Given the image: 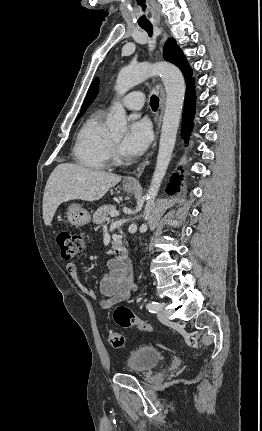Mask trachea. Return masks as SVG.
Masks as SVG:
<instances>
[{
    "mask_svg": "<svg viewBox=\"0 0 262 431\" xmlns=\"http://www.w3.org/2000/svg\"><path fill=\"white\" fill-rule=\"evenodd\" d=\"M137 5L142 9L145 10L146 5L144 2H142V0H137ZM148 34L150 37H152L153 34V27L152 26H141ZM150 106L152 108L153 111H156L158 109L159 106V98L156 95H152L150 98Z\"/></svg>",
    "mask_w": 262,
    "mask_h": 431,
    "instance_id": "obj_1",
    "label": "trachea"
}]
</instances>
